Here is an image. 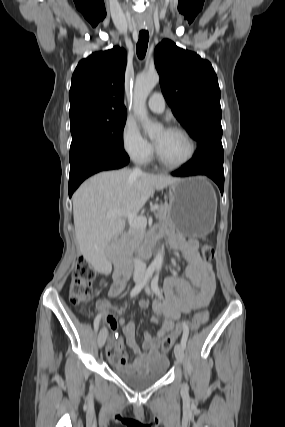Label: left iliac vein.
<instances>
[{"instance_id":"4c4485c4","label":"left iliac vein","mask_w":285,"mask_h":427,"mask_svg":"<svg viewBox=\"0 0 285 427\" xmlns=\"http://www.w3.org/2000/svg\"><path fill=\"white\" fill-rule=\"evenodd\" d=\"M146 292L149 293V289L146 288ZM174 353L176 356V359L179 363H181L183 361V357H184V349L182 347L181 344H176L175 348H174Z\"/></svg>"}]
</instances>
